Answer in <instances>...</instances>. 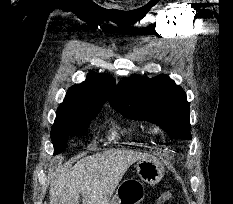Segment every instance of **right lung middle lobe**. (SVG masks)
<instances>
[{
  "instance_id": "1",
  "label": "right lung middle lobe",
  "mask_w": 233,
  "mask_h": 204,
  "mask_svg": "<svg viewBox=\"0 0 233 204\" xmlns=\"http://www.w3.org/2000/svg\"><path fill=\"white\" fill-rule=\"evenodd\" d=\"M98 113L90 114L73 121L63 123L59 127H52L51 140L54 145V154L61 153L67 145L69 135L80 136L83 135L90 122L96 117Z\"/></svg>"
}]
</instances>
